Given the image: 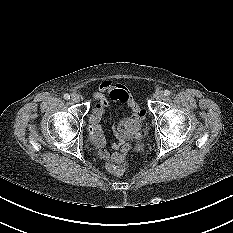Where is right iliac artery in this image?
Wrapping results in <instances>:
<instances>
[{
  "label": "right iliac artery",
  "mask_w": 233,
  "mask_h": 233,
  "mask_svg": "<svg viewBox=\"0 0 233 233\" xmlns=\"http://www.w3.org/2000/svg\"><path fill=\"white\" fill-rule=\"evenodd\" d=\"M64 99L66 100L70 99V95L68 93L64 94Z\"/></svg>",
  "instance_id": "82829eb1"
}]
</instances>
